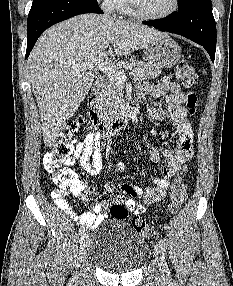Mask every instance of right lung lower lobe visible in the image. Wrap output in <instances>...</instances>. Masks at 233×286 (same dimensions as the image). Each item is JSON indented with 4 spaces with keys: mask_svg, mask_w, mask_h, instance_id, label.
Returning <instances> with one entry per match:
<instances>
[{
    "mask_svg": "<svg viewBox=\"0 0 233 286\" xmlns=\"http://www.w3.org/2000/svg\"><path fill=\"white\" fill-rule=\"evenodd\" d=\"M84 13L103 14L94 0H39L28 15L26 58L38 37L50 26Z\"/></svg>",
    "mask_w": 233,
    "mask_h": 286,
    "instance_id": "obj_1",
    "label": "right lung lower lobe"
}]
</instances>
